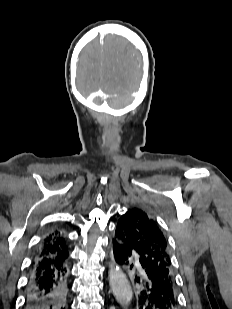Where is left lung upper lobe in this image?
Here are the masks:
<instances>
[{
    "label": "left lung upper lobe",
    "mask_w": 232,
    "mask_h": 309,
    "mask_svg": "<svg viewBox=\"0 0 232 309\" xmlns=\"http://www.w3.org/2000/svg\"><path fill=\"white\" fill-rule=\"evenodd\" d=\"M139 260L163 275L177 299L168 240L158 223L145 211L130 208L118 220L117 227Z\"/></svg>",
    "instance_id": "left-lung-upper-lobe-1"
}]
</instances>
